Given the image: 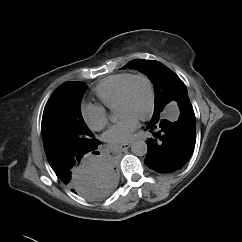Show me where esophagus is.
<instances>
[{"instance_id": "obj_1", "label": "esophagus", "mask_w": 242, "mask_h": 242, "mask_svg": "<svg viewBox=\"0 0 242 242\" xmlns=\"http://www.w3.org/2000/svg\"><path fill=\"white\" fill-rule=\"evenodd\" d=\"M130 146H131V143H124V144H121L119 147L124 151L128 149Z\"/></svg>"}]
</instances>
